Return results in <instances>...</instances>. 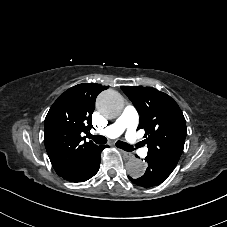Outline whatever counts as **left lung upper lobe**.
<instances>
[{"instance_id": "1", "label": "left lung upper lobe", "mask_w": 227, "mask_h": 227, "mask_svg": "<svg viewBox=\"0 0 227 227\" xmlns=\"http://www.w3.org/2000/svg\"><path fill=\"white\" fill-rule=\"evenodd\" d=\"M139 115L138 129H144L147 158L174 169L183 152L186 122L178 104L166 93L151 87L122 86Z\"/></svg>"}]
</instances>
